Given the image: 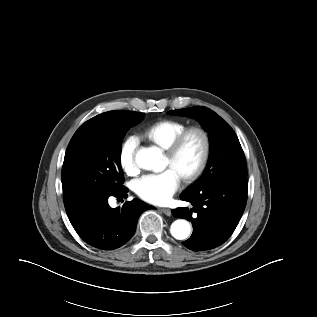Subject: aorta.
Segmentation results:
<instances>
[{
    "mask_svg": "<svg viewBox=\"0 0 317 317\" xmlns=\"http://www.w3.org/2000/svg\"><path fill=\"white\" fill-rule=\"evenodd\" d=\"M135 162L144 170L156 172L166 167L162 150L156 146L140 148L135 155ZM170 232L175 239L184 240L190 235L191 225L185 219H177L171 224Z\"/></svg>",
    "mask_w": 317,
    "mask_h": 317,
    "instance_id": "aorta-1",
    "label": "aorta"
}]
</instances>
